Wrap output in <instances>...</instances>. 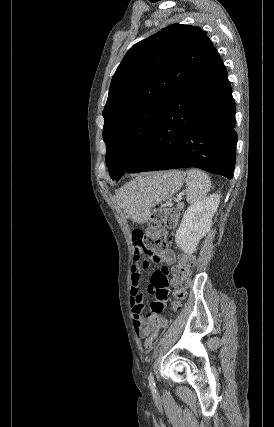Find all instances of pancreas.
I'll return each mask as SVG.
<instances>
[{"label":"pancreas","mask_w":274,"mask_h":427,"mask_svg":"<svg viewBox=\"0 0 274 427\" xmlns=\"http://www.w3.org/2000/svg\"><path fill=\"white\" fill-rule=\"evenodd\" d=\"M182 208H184V204H182V202H179V204H177L176 210H182Z\"/></svg>","instance_id":"pancreas-1"}]
</instances>
